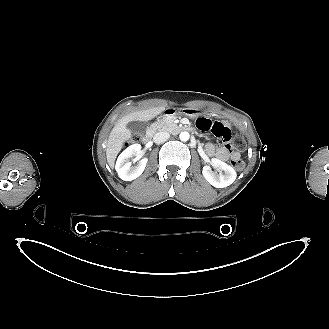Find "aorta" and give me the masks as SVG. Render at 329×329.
Listing matches in <instances>:
<instances>
[{"instance_id": "1", "label": "aorta", "mask_w": 329, "mask_h": 329, "mask_svg": "<svg viewBox=\"0 0 329 329\" xmlns=\"http://www.w3.org/2000/svg\"><path fill=\"white\" fill-rule=\"evenodd\" d=\"M189 136H190V135H189L188 132L183 131V132L180 133L179 138H180L181 141L186 142V141L189 140Z\"/></svg>"}]
</instances>
